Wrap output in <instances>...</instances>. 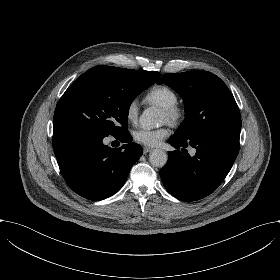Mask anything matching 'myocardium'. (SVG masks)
I'll return each mask as SVG.
<instances>
[{
	"label": "myocardium",
	"mask_w": 280,
	"mask_h": 280,
	"mask_svg": "<svg viewBox=\"0 0 280 280\" xmlns=\"http://www.w3.org/2000/svg\"><path fill=\"white\" fill-rule=\"evenodd\" d=\"M167 116V121L172 125L179 124L185 117V109L180 104L162 107Z\"/></svg>",
	"instance_id": "1"
}]
</instances>
